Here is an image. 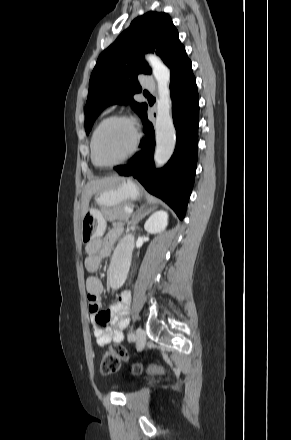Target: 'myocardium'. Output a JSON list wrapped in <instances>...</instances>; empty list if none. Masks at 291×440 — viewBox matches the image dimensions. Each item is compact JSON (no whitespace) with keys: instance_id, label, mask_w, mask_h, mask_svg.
Wrapping results in <instances>:
<instances>
[{"instance_id":"f54148a6","label":"myocardium","mask_w":291,"mask_h":440,"mask_svg":"<svg viewBox=\"0 0 291 440\" xmlns=\"http://www.w3.org/2000/svg\"><path fill=\"white\" fill-rule=\"evenodd\" d=\"M116 120L124 121V122L129 124V126H130V128H131V130L133 132V136H134L132 147L129 150V152L127 153V155L123 159H121L119 161H116V162L101 163V162H99L97 160V157H96V138H97V135H98L99 131L101 130V128L105 124H107L108 122H111V121H116ZM139 143H140V133H139V131H138L137 127H136V124H135V122H134V120L132 118H130L129 116L124 115V114H113V115H110V116L104 118L98 124V126L96 127V129L93 132L92 140H91V158H92V161H93V163L96 166H99V167L113 168V167L120 166V165L126 163L128 160H130L133 157V155L136 153V151L138 149Z\"/></svg>"}]
</instances>
